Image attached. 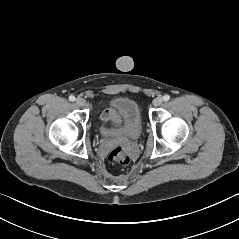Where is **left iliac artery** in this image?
Returning <instances> with one entry per match:
<instances>
[{
    "label": "left iliac artery",
    "mask_w": 239,
    "mask_h": 239,
    "mask_svg": "<svg viewBox=\"0 0 239 239\" xmlns=\"http://www.w3.org/2000/svg\"><path fill=\"white\" fill-rule=\"evenodd\" d=\"M163 100L164 101H169L170 100V96L169 95H164L163 96Z\"/></svg>",
    "instance_id": "left-iliac-artery-1"
}]
</instances>
